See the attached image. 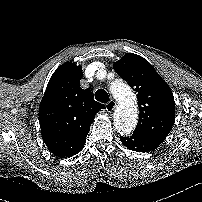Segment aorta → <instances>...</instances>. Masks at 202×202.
Here are the masks:
<instances>
[{
	"label": "aorta",
	"instance_id": "1",
	"mask_svg": "<svg viewBox=\"0 0 202 202\" xmlns=\"http://www.w3.org/2000/svg\"><path fill=\"white\" fill-rule=\"evenodd\" d=\"M115 99L119 102L114 113V125L122 135L132 133L138 121V109L134 93L125 83H118L112 88Z\"/></svg>",
	"mask_w": 202,
	"mask_h": 202
}]
</instances>
